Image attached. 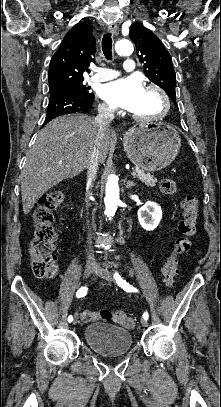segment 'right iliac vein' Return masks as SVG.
Instances as JSON below:
<instances>
[{
  "instance_id": "right-iliac-vein-1",
  "label": "right iliac vein",
  "mask_w": 221,
  "mask_h": 407,
  "mask_svg": "<svg viewBox=\"0 0 221 407\" xmlns=\"http://www.w3.org/2000/svg\"><path fill=\"white\" fill-rule=\"evenodd\" d=\"M96 271V267L92 264H87L84 272V277L88 278L92 272ZM78 322V315L77 313L74 316L73 324H77Z\"/></svg>"
}]
</instances>
